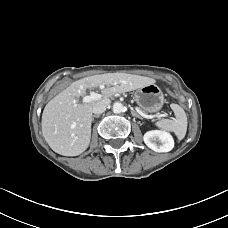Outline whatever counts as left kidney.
Instances as JSON below:
<instances>
[{
	"instance_id": "left-kidney-1",
	"label": "left kidney",
	"mask_w": 228,
	"mask_h": 228,
	"mask_svg": "<svg viewBox=\"0 0 228 228\" xmlns=\"http://www.w3.org/2000/svg\"><path fill=\"white\" fill-rule=\"evenodd\" d=\"M144 143L155 152H169L174 147L172 136L159 130L148 131L143 137Z\"/></svg>"
}]
</instances>
